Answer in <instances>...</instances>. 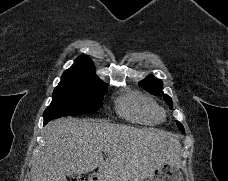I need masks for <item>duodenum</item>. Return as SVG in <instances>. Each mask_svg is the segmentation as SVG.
I'll return each instance as SVG.
<instances>
[{"label": "duodenum", "instance_id": "410a0bca", "mask_svg": "<svg viewBox=\"0 0 228 181\" xmlns=\"http://www.w3.org/2000/svg\"><path fill=\"white\" fill-rule=\"evenodd\" d=\"M90 181H97V179L96 178H91Z\"/></svg>", "mask_w": 228, "mask_h": 181}]
</instances>
